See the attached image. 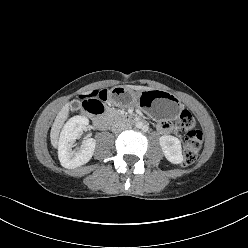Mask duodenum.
Wrapping results in <instances>:
<instances>
[{
    "label": "duodenum",
    "instance_id": "1",
    "mask_svg": "<svg viewBox=\"0 0 248 248\" xmlns=\"http://www.w3.org/2000/svg\"><path fill=\"white\" fill-rule=\"evenodd\" d=\"M84 110L86 114L92 118L95 126L101 129L107 128L113 120H119L125 123L133 122V119L130 116L121 115L113 118L111 116L103 115L101 111L91 106H85Z\"/></svg>",
    "mask_w": 248,
    "mask_h": 248
}]
</instances>
